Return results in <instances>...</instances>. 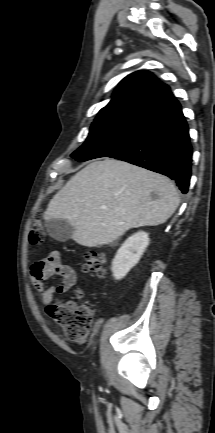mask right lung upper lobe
<instances>
[{
	"instance_id": "right-lung-upper-lobe-1",
	"label": "right lung upper lobe",
	"mask_w": 215,
	"mask_h": 433,
	"mask_svg": "<svg viewBox=\"0 0 215 433\" xmlns=\"http://www.w3.org/2000/svg\"><path fill=\"white\" fill-rule=\"evenodd\" d=\"M174 100L169 87L153 74L136 71L120 82L113 98L99 111L95 121L120 117L148 118Z\"/></svg>"
}]
</instances>
